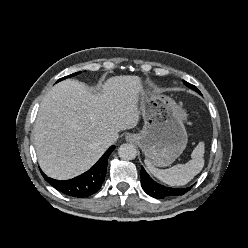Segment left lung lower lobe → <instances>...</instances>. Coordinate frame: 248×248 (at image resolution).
<instances>
[{
    "label": "left lung lower lobe",
    "mask_w": 248,
    "mask_h": 248,
    "mask_svg": "<svg viewBox=\"0 0 248 248\" xmlns=\"http://www.w3.org/2000/svg\"><path fill=\"white\" fill-rule=\"evenodd\" d=\"M140 176H141V185L143 190L148 195L154 198L162 199L168 196L183 195L192 188V186H190L187 188L178 189V188H170L160 185L154 180H152V178L147 174V172L143 167H141Z\"/></svg>",
    "instance_id": "left-lung-lower-lobe-1"
}]
</instances>
